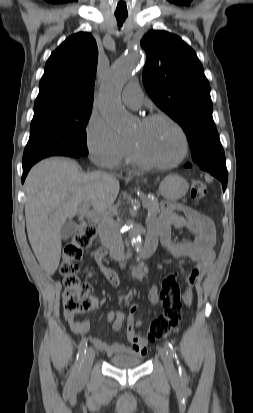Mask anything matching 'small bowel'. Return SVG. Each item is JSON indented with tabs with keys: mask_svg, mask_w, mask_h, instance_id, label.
<instances>
[{
	"mask_svg": "<svg viewBox=\"0 0 253 413\" xmlns=\"http://www.w3.org/2000/svg\"><path fill=\"white\" fill-rule=\"evenodd\" d=\"M172 227L185 229L194 234L195 237L192 241H177L172 237ZM148 230L158 236L163 248L170 256L173 258H188L196 264L195 268L186 276V284L183 286V307L190 309L192 307L191 285L198 276L212 264L215 258L214 224L210 218L190 206L181 203L164 202L161 206L159 216H149ZM91 256L95 259L98 267L110 283L115 286L119 285L120 278L118 274L105 265V256L101 254L99 248L93 250ZM148 300L152 304L159 302V290L156 286L150 288ZM136 311V305H132L128 313L116 311L110 313L108 316V320L114 330H119L123 323L126 322V335L130 346L119 342L106 343L99 338L92 339L93 346L105 352L108 356L118 354L145 355L147 351V341L137 331L139 322L134 318ZM65 319L75 334L81 336L83 339L86 337L90 329L88 320H78L74 315L66 312Z\"/></svg>",
	"mask_w": 253,
	"mask_h": 413,
	"instance_id": "1",
	"label": "small bowel"
}]
</instances>
